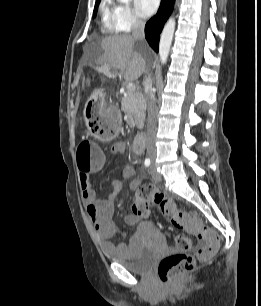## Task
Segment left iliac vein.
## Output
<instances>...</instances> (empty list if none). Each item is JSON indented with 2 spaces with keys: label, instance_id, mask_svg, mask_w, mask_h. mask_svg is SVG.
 Returning <instances> with one entry per match:
<instances>
[{
  "label": "left iliac vein",
  "instance_id": "left-iliac-vein-1",
  "mask_svg": "<svg viewBox=\"0 0 261 306\" xmlns=\"http://www.w3.org/2000/svg\"><path fill=\"white\" fill-rule=\"evenodd\" d=\"M150 173L152 175V179L155 181V182H160L162 177L161 175L156 171V168H155V164L152 163L151 165V168H150Z\"/></svg>",
  "mask_w": 261,
  "mask_h": 306
}]
</instances>
